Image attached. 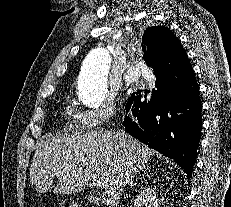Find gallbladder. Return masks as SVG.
I'll return each instance as SVG.
<instances>
[{
  "label": "gallbladder",
  "mask_w": 231,
  "mask_h": 207,
  "mask_svg": "<svg viewBox=\"0 0 231 207\" xmlns=\"http://www.w3.org/2000/svg\"><path fill=\"white\" fill-rule=\"evenodd\" d=\"M87 199H88V201H89L90 203H93V204H97V203H98V199L95 198V197L92 196V195H89V196L87 197Z\"/></svg>",
  "instance_id": "bac80fb5"
}]
</instances>
